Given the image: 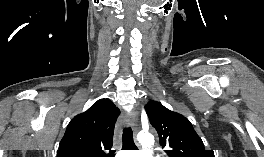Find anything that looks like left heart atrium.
I'll return each mask as SVG.
<instances>
[{"mask_svg": "<svg viewBox=\"0 0 264 157\" xmlns=\"http://www.w3.org/2000/svg\"><path fill=\"white\" fill-rule=\"evenodd\" d=\"M133 153V152H131ZM121 157H136V156H127V155H124V156H121Z\"/></svg>", "mask_w": 264, "mask_h": 157, "instance_id": "39dd6f15", "label": "left heart atrium"}]
</instances>
